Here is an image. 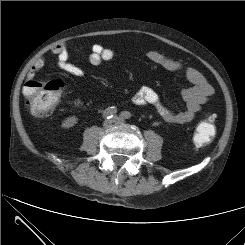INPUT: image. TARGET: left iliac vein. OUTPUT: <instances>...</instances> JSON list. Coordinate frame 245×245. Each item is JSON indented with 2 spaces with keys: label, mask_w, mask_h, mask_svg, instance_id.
Here are the masks:
<instances>
[{
  "label": "left iliac vein",
  "mask_w": 245,
  "mask_h": 245,
  "mask_svg": "<svg viewBox=\"0 0 245 245\" xmlns=\"http://www.w3.org/2000/svg\"><path fill=\"white\" fill-rule=\"evenodd\" d=\"M117 119V123H123L122 117H115Z\"/></svg>",
  "instance_id": "4c4485c4"
}]
</instances>
